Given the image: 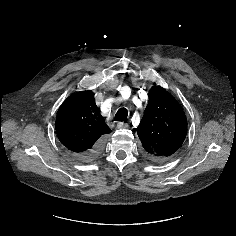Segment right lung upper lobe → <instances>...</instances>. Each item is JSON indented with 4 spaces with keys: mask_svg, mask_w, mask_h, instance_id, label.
Instances as JSON below:
<instances>
[{
    "mask_svg": "<svg viewBox=\"0 0 236 236\" xmlns=\"http://www.w3.org/2000/svg\"><path fill=\"white\" fill-rule=\"evenodd\" d=\"M55 128L60 142L74 153L91 149L105 134L111 132L90 90L77 92L62 103Z\"/></svg>",
    "mask_w": 236,
    "mask_h": 236,
    "instance_id": "right-lung-upper-lobe-1",
    "label": "right lung upper lobe"
}]
</instances>
